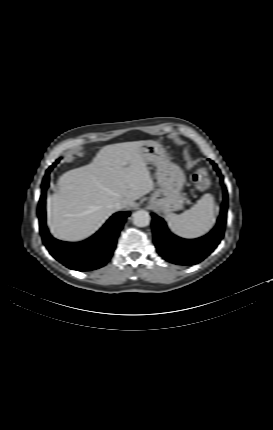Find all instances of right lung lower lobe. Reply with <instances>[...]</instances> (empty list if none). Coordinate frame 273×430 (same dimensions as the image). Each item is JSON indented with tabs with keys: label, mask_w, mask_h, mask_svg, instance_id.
<instances>
[{
	"label": "right lung lower lobe",
	"mask_w": 273,
	"mask_h": 430,
	"mask_svg": "<svg viewBox=\"0 0 273 430\" xmlns=\"http://www.w3.org/2000/svg\"><path fill=\"white\" fill-rule=\"evenodd\" d=\"M55 165L56 163L46 171L38 204L43 243L54 258L70 269L91 271L103 267L110 260L115 250L118 234L130 212L114 214L95 235L85 241L68 243L53 238L45 222V197L49 185V174Z\"/></svg>",
	"instance_id": "right-lung-lower-lobe-1"
}]
</instances>
